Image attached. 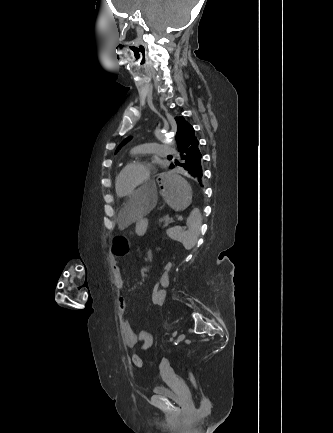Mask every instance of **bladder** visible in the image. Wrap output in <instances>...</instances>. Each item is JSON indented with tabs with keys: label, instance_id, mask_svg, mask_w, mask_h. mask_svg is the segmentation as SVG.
<instances>
[{
	"label": "bladder",
	"instance_id": "1",
	"mask_svg": "<svg viewBox=\"0 0 333 433\" xmlns=\"http://www.w3.org/2000/svg\"><path fill=\"white\" fill-rule=\"evenodd\" d=\"M152 392L157 396L165 397L173 402L179 403L186 400L184 395L178 394L171 390L168 386L162 385H154L152 387Z\"/></svg>",
	"mask_w": 333,
	"mask_h": 433
}]
</instances>
